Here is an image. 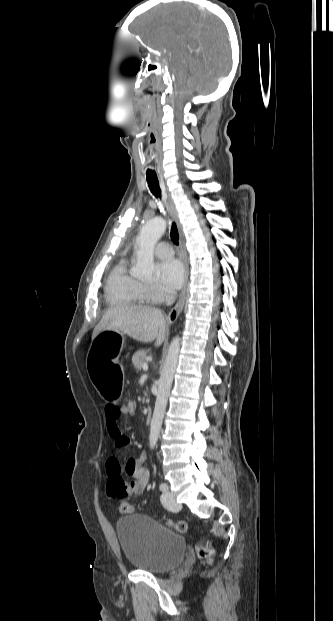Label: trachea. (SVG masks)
Instances as JSON below:
<instances>
[{
  "label": "trachea",
  "instance_id": "1",
  "mask_svg": "<svg viewBox=\"0 0 333 621\" xmlns=\"http://www.w3.org/2000/svg\"><path fill=\"white\" fill-rule=\"evenodd\" d=\"M146 180L148 183V187L151 191V193L157 198L160 197L161 198V191L159 188V182H158V178L156 176L155 173H146ZM170 237L171 240L173 241L174 244L178 245L179 243V234H178V229L176 224L173 222L172 226H171V232H170Z\"/></svg>",
  "mask_w": 333,
  "mask_h": 621
}]
</instances>
